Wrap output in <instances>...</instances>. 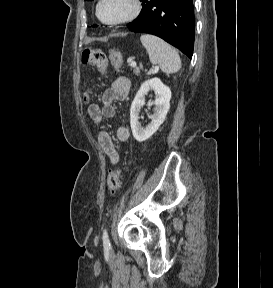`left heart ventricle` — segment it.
<instances>
[{"label": "left heart ventricle", "mask_w": 273, "mask_h": 288, "mask_svg": "<svg viewBox=\"0 0 273 288\" xmlns=\"http://www.w3.org/2000/svg\"><path fill=\"white\" fill-rule=\"evenodd\" d=\"M130 0H105L100 8V15L106 21L119 19L131 11Z\"/></svg>", "instance_id": "obj_1"}]
</instances>
